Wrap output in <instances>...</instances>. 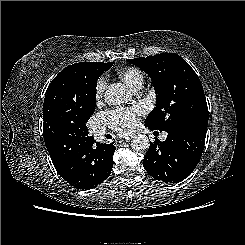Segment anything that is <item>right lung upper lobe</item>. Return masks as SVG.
Here are the masks:
<instances>
[{
  "label": "right lung upper lobe",
  "instance_id": "cb5924a9",
  "mask_svg": "<svg viewBox=\"0 0 245 245\" xmlns=\"http://www.w3.org/2000/svg\"><path fill=\"white\" fill-rule=\"evenodd\" d=\"M91 63L97 62L67 66L48 86L43 104L44 141L70 138L79 134V128L89 108L83 78Z\"/></svg>",
  "mask_w": 245,
  "mask_h": 245
}]
</instances>
